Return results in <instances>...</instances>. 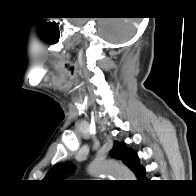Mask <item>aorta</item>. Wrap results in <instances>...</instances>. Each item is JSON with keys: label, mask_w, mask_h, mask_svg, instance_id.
I'll return each mask as SVG.
<instances>
[{"label": "aorta", "mask_w": 196, "mask_h": 196, "mask_svg": "<svg viewBox=\"0 0 196 196\" xmlns=\"http://www.w3.org/2000/svg\"><path fill=\"white\" fill-rule=\"evenodd\" d=\"M89 172L94 176L110 175L117 180L134 179V175L128 167L111 159L94 160L89 165Z\"/></svg>", "instance_id": "aorta-1"}]
</instances>
